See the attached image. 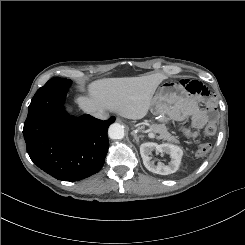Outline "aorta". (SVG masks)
<instances>
[{
	"instance_id": "762f6f07",
	"label": "aorta",
	"mask_w": 245,
	"mask_h": 245,
	"mask_svg": "<svg viewBox=\"0 0 245 245\" xmlns=\"http://www.w3.org/2000/svg\"><path fill=\"white\" fill-rule=\"evenodd\" d=\"M108 135L111 139H122L124 137V128L119 123H113L110 125Z\"/></svg>"
}]
</instances>
